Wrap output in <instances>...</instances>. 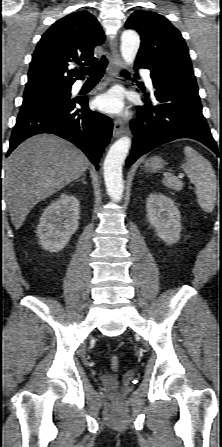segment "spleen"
I'll return each mask as SVG.
<instances>
[{
  "mask_svg": "<svg viewBox=\"0 0 222 447\" xmlns=\"http://www.w3.org/2000/svg\"><path fill=\"white\" fill-rule=\"evenodd\" d=\"M185 162L181 169L195 184L199 206L205 212H211L216 203L217 180L210 162L191 147L184 148ZM163 184L173 190H181L182 182L175 176H167Z\"/></svg>",
  "mask_w": 222,
  "mask_h": 447,
  "instance_id": "3e777b00",
  "label": "spleen"
}]
</instances>
